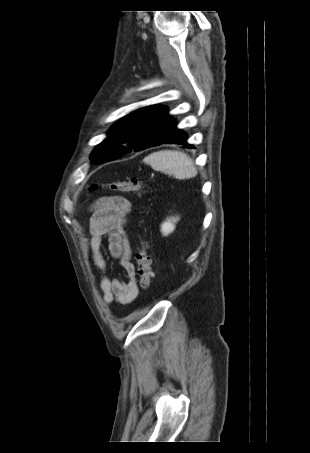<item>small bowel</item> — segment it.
Returning a JSON list of instances; mask_svg holds the SVG:
<instances>
[{"label":"small bowel","mask_w":310,"mask_h":453,"mask_svg":"<svg viewBox=\"0 0 310 453\" xmlns=\"http://www.w3.org/2000/svg\"><path fill=\"white\" fill-rule=\"evenodd\" d=\"M131 203L122 196H110L99 199L89 219L91 237L88 250L96 268L103 274L99 279L92 278L102 292L105 304L113 302L125 305L137 297L139 289L136 281V270L132 262V248L127 235V216ZM107 236L108 249L112 257L118 259L126 273L127 280L122 282L106 275L107 264L101 252V243Z\"/></svg>","instance_id":"1"}]
</instances>
